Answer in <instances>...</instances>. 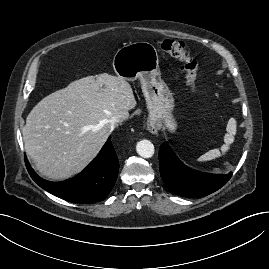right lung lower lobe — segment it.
Here are the masks:
<instances>
[{"instance_id":"right-lung-lower-lobe-1","label":"right lung lower lobe","mask_w":269,"mask_h":269,"mask_svg":"<svg viewBox=\"0 0 269 269\" xmlns=\"http://www.w3.org/2000/svg\"><path fill=\"white\" fill-rule=\"evenodd\" d=\"M108 138L96 158L77 176L63 182L40 178L26 160L32 179L51 194L73 203H92L104 200L112 190L119 171V161Z\"/></svg>"}]
</instances>
